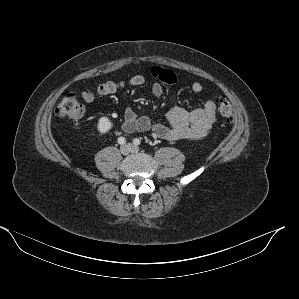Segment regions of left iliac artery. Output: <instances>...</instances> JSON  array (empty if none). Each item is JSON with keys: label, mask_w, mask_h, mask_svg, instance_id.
I'll list each match as a JSON object with an SVG mask.
<instances>
[{"label": "left iliac artery", "mask_w": 299, "mask_h": 299, "mask_svg": "<svg viewBox=\"0 0 299 299\" xmlns=\"http://www.w3.org/2000/svg\"><path fill=\"white\" fill-rule=\"evenodd\" d=\"M133 144L136 145V146L140 145V144H141L140 139H139V138H135V139L133 140Z\"/></svg>", "instance_id": "44dca946"}]
</instances>
